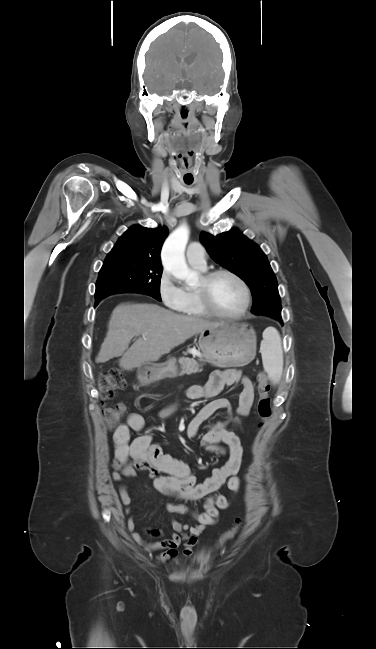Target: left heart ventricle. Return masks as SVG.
<instances>
[{
    "label": "left heart ventricle",
    "mask_w": 376,
    "mask_h": 649,
    "mask_svg": "<svg viewBox=\"0 0 376 649\" xmlns=\"http://www.w3.org/2000/svg\"><path fill=\"white\" fill-rule=\"evenodd\" d=\"M210 298L215 307L230 314L237 313L244 304L243 289L228 275H220L213 280Z\"/></svg>",
    "instance_id": "b2bd125f"
}]
</instances>
